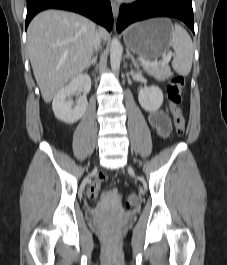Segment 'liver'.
Wrapping results in <instances>:
<instances>
[{"mask_svg":"<svg viewBox=\"0 0 227 265\" xmlns=\"http://www.w3.org/2000/svg\"><path fill=\"white\" fill-rule=\"evenodd\" d=\"M99 35L108 38L100 28ZM95 24L81 15L47 10L29 24L27 48L36 82L46 103L91 61Z\"/></svg>","mask_w":227,"mask_h":265,"instance_id":"6515ba94","label":"liver"}]
</instances>
